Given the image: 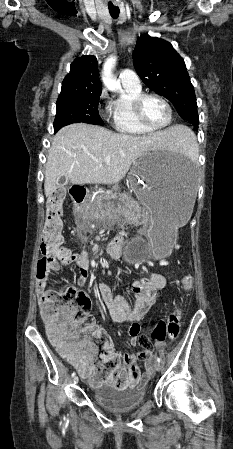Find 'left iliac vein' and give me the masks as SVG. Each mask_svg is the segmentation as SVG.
<instances>
[{
    "label": "left iliac vein",
    "instance_id": "left-iliac-vein-1",
    "mask_svg": "<svg viewBox=\"0 0 233 449\" xmlns=\"http://www.w3.org/2000/svg\"><path fill=\"white\" fill-rule=\"evenodd\" d=\"M155 370L158 371V372L162 370V366H161V364L159 362H157L155 364Z\"/></svg>",
    "mask_w": 233,
    "mask_h": 449
}]
</instances>
